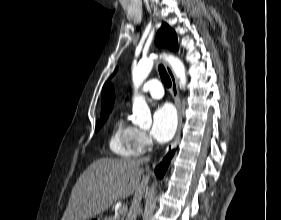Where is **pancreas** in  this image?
Returning <instances> with one entry per match:
<instances>
[{
  "label": "pancreas",
  "instance_id": "cf45deb5",
  "mask_svg": "<svg viewBox=\"0 0 281 220\" xmlns=\"http://www.w3.org/2000/svg\"><path fill=\"white\" fill-rule=\"evenodd\" d=\"M104 220H124V214L119 212L117 216H110L105 218Z\"/></svg>",
  "mask_w": 281,
  "mask_h": 220
}]
</instances>
